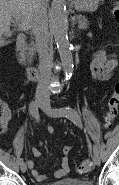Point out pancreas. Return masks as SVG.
Instances as JSON below:
<instances>
[{
	"mask_svg": "<svg viewBox=\"0 0 119 185\" xmlns=\"http://www.w3.org/2000/svg\"><path fill=\"white\" fill-rule=\"evenodd\" d=\"M77 20H78V28L79 29H87L88 21H87L85 16L79 15V16H77ZM28 50H29L30 55L32 57L34 55V53H35V45H34V43H31L28 46Z\"/></svg>",
	"mask_w": 119,
	"mask_h": 185,
	"instance_id": "pancreas-1",
	"label": "pancreas"
}]
</instances>
